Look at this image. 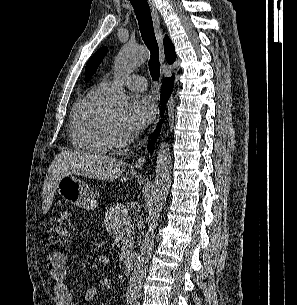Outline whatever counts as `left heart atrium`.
Instances as JSON below:
<instances>
[{
  "instance_id": "obj_1",
  "label": "left heart atrium",
  "mask_w": 297,
  "mask_h": 305,
  "mask_svg": "<svg viewBox=\"0 0 297 305\" xmlns=\"http://www.w3.org/2000/svg\"><path fill=\"white\" fill-rule=\"evenodd\" d=\"M155 114V103L148 95H139L132 99L128 114L122 122L126 136L141 132L152 120Z\"/></svg>"
}]
</instances>
